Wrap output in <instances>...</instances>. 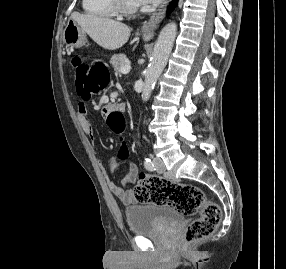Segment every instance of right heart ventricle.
<instances>
[{"label":"right heart ventricle","instance_id":"e07e8e85","mask_svg":"<svg viewBox=\"0 0 286 269\" xmlns=\"http://www.w3.org/2000/svg\"><path fill=\"white\" fill-rule=\"evenodd\" d=\"M82 8L86 14L96 18L109 19L117 15L109 0H82Z\"/></svg>","mask_w":286,"mask_h":269}]
</instances>
